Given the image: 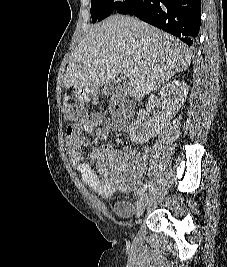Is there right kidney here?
<instances>
[{
	"mask_svg": "<svg viewBox=\"0 0 227 267\" xmlns=\"http://www.w3.org/2000/svg\"><path fill=\"white\" fill-rule=\"evenodd\" d=\"M189 91V85L185 81L173 80L166 83L160 91L162 98V110L152 119L146 120L147 111L140 110L135 122L129 128V136L132 142L143 144L157 136L176 112L184 104Z\"/></svg>",
	"mask_w": 227,
	"mask_h": 267,
	"instance_id": "right-kidney-1",
	"label": "right kidney"
}]
</instances>
